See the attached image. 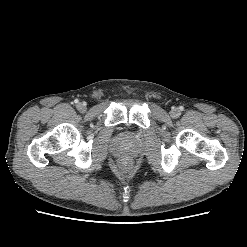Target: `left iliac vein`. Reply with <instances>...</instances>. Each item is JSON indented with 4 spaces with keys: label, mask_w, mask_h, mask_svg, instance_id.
<instances>
[{
    "label": "left iliac vein",
    "mask_w": 247,
    "mask_h": 247,
    "mask_svg": "<svg viewBox=\"0 0 247 247\" xmlns=\"http://www.w3.org/2000/svg\"><path fill=\"white\" fill-rule=\"evenodd\" d=\"M170 114H171L172 117L175 118V117L179 116L180 112H179V110L177 108H175V109L171 110Z\"/></svg>",
    "instance_id": "1"
}]
</instances>
